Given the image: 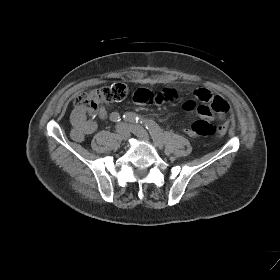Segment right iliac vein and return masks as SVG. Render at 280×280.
<instances>
[{"mask_svg":"<svg viewBox=\"0 0 280 280\" xmlns=\"http://www.w3.org/2000/svg\"><path fill=\"white\" fill-rule=\"evenodd\" d=\"M117 132H118L120 138L123 140H127L130 137V129H129L128 125H126V124H123V123L120 124L118 126Z\"/></svg>","mask_w":280,"mask_h":280,"instance_id":"obj_1","label":"right iliac vein"}]
</instances>
